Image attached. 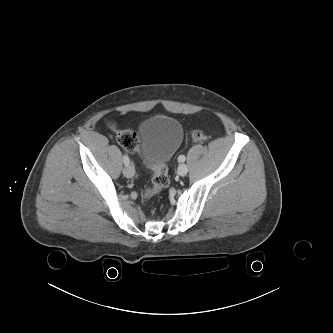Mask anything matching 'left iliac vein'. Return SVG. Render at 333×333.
Returning a JSON list of instances; mask_svg holds the SVG:
<instances>
[{
  "label": "left iliac vein",
  "instance_id": "1",
  "mask_svg": "<svg viewBox=\"0 0 333 333\" xmlns=\"http://www.w3.org/2000/svg\"><path fill=\"white\" fill-rule=\"evenodd\" d=\"M177 172L180 176H185L188 173L187 165L184 163L179 164Z\"/></svg>",
  "mask_w": 333,
  "mask_h": 333
}]
</instances>
